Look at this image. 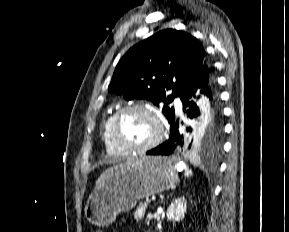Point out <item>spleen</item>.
<instances>
[{"instance_id": "spleen-1", "label": "spleen", "mask_w": 289, "mask_h": 232, "mask_svg": "<svg viewBox=\"0 0 289 232\" xmlns=\"http://www.w3.org/2000/svg\"><path fill=\"white\" fill-rule=\"evenodd\" d=\"M191 174H192L191 170L186 169V175L189 176Z\"/></svg>"}]
</instances>
